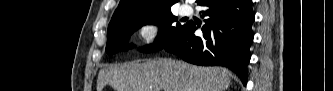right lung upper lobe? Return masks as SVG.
<instances>
[{
  "label": "right lung upper lobe",
  "instance_id": "1",
  "mask_svg": "<svg viewBox=\"0 0 333 91\" xmlns=\"http://www.w3.org/2000/svg\"><path fill=\"white\" fill-rule=\"evenodd\" d=\"M178 0H121L111 22L169 11ZM201 0H196L199 3Z\"/></svg>",
  "mask_w": 333,
  "mask_h": 91
}]
</instances>
